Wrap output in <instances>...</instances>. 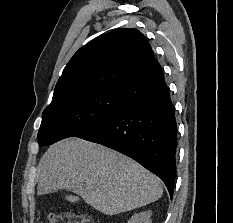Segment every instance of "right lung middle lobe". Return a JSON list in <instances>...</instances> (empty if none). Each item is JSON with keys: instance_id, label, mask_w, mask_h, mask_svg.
Masks as SVG:
<instances>
[{"instance_id": "dd1d6c3e", "label": "right lung middle lobe", "mask_w": 233, "mask_h": 223, "mask_svg": "<svg viewBox=\"0 0 233 223\" xmlns=\"http://www.w3.org/2000/svg\"><path fill=\"white\" fill-rule=\"evenodd\" d=\"M121 89L94 88L60 96L42 113L40 146L67 137H80L115 115L121 108Z\"/></svg>"}]
</instances>
